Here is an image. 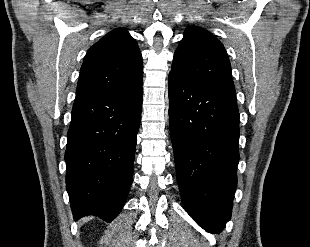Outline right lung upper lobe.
Instances as JSON below:
<instances>
[{"mask_svg":"<svg viewBox=\"0 0 310 247\" xmlns=\"http://www.w3.org/2000/svg\"><path fill=\"white\" fill-rule=\"evenodd\" d=\"M142 82V56L135 39L125 29H114L88 50L76 97L130 90Z\"/></svg>","mask_w":310,"mask_h":247,"instance_id":"obj_1","label":"right lung upper lobe"}]
</instances>
